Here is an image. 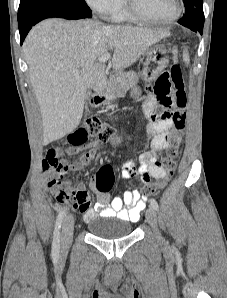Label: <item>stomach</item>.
Returning <instances> with one entry per match:
<instances>
[{
  "mask_svg": "<svg viewBox=\"0 0 227 298\" xmlns=\"http://www.w3.org/2000/svg\"><path fill=\"white\" fill-rule=\"evenodd\" d=\"M169 63L168 51L161 45H151L146 49V60L143 64L142 77L145 81H153L160 75L162 69H165ZM141 91L138 87L134 86L131 91V96L138 98ZM116 97H109L115 99Z\"/></svg>",
  "mask_w": 227,
  "mask_h": 298,
  "instance_id": "obj_1",
  "label": "stomach"
}]
</instances>
